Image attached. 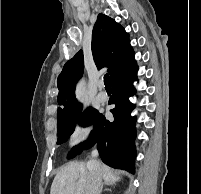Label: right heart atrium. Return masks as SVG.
Returning <instances> with one entry per match:
<instances>
[{
	"label": "right heart atrium",
	"instance_id": "d8ad5b80",
	"mask_svg": "<svg viewBox=\"0 0 201 194\" xmlns=\"http://www.w3.org/2000/svg\"><path fill=\"white\" fill-rule=\"evenodd\" d=\"M92 135V126L87 119L79 120L69 137V143L71 146H77L85 143L90 139Z\"/></svg>",
	"mask_w": 201,
	"mask_h": 194
}]
</instances>
